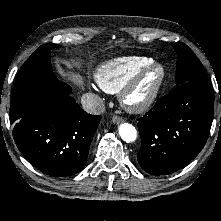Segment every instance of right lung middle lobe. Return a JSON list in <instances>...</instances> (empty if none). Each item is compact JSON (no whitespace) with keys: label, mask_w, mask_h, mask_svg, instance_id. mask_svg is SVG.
Masks as SVG:
<instances>
[{"label":"right lung middle lobe","mask_w":221,"mask_h":221,"mask_svg":"<svg viewBox=\"0 0 221 221\" xmlns=\"http://www.w3.org/2000/svg\"><path fill=\"white\" fill-rule=\"evenodd\" d=\"M58 47L56 44H44L29 57L17 77L12 95L41 81L57 79L52 72L50 50Z\"/></svg>","instance_id":"1"}]
</instances>
